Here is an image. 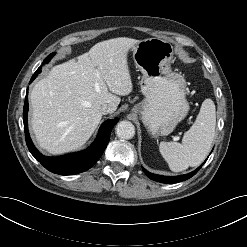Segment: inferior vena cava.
<instances>
[{"mask_svg": "<svg viewBox=\"0 0 247 247\" xmlns=\"http://www.w3.org/2000/svg\"><path fill=\"white\" fill-rule=\"evenodd\" d=\"M101 114L105 115L113 112V108L109 104H104L100 107Z\"/></svg>", "mask_w": 247, "mask_h": 247, "instance_id": "obj_1", "label": "inferior vena cava"}]
</instances>
